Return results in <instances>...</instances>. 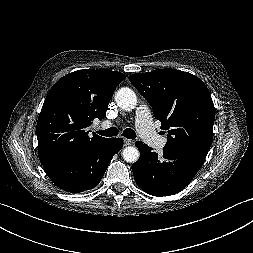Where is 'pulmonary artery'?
<instances>
[{
  "label": "pulmonary artery",
  "mask_w": 253,
  "mask_h": 253,
  "mask_svg": "<svg viewBox=\"0 0 253 253\" xmlns=\"http://www.w3.org/2000/svg\"><path fill=\"white\" fill-rule=\"evenodd\" d=\"M111 126L109 121L102 123V127ZM136 126L139 135L152 147L162 149L167 143V137L160 136L154 128L152 116L146 106H140L136 112Z\"/></svg>",
  "instance_id": "pulmonary-artery-1"
}]
</instances>
